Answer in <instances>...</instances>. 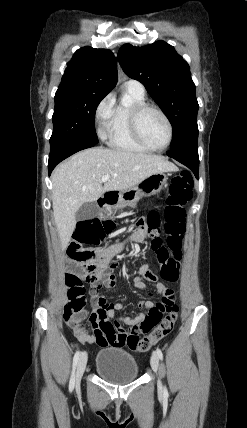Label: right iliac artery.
I'll list each match as a JSON object with an SVG mask.
<instances>
[{
	"mask_svg": "<svg viewBox=\"0 0 247 428\" xmlns=\"http://www.w3.org/2000/svg\"><path fill=\"white\" fill-rule=\"evenodd\" d=\"M80 355H81V352L78 350V351H76V353L74 354V357H73V367H72V373H71V378H70V382H69V391L70 392L74 389L75 369H76Z\"/></svg>",
	"mask_w": 247,
	"mask_h": 428,
	"instance_id": "obj_1",
	"label": "right iliac artery"
}]
</instances>
